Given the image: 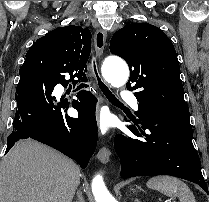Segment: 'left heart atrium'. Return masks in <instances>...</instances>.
I'll return each mask as SVG.
<instances>
[{
    "label": "left heart atrium",
    "mask_w": 209,
    "mask_h": 202,
    "mask_svg": "<svg viewBox=\"0 0 209 202\" xmlns=\"http://www.w3.org/2000/svg\"><path fill=\"white\" fill-rule=\"evenodd\" d=\"M97 125L100 128L101 131H104L106 129L105 121H104V115L101 112H98L95 116Z\"/></svg>",
    "instance_id": "left-heart-atrium-1"
}]
</instances>
